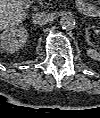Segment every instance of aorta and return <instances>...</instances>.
I'll use <instances>...</instances> for the list:
<instances>
[{"label": "aorta", "mask_w": 100, "mask_h": 118, "mask_svg": "<svg viewBox=\"0 0 100 118\" xmlns=\"http://www.w3.org/2000/svg\"><path fill=\"white\" fill-rule=\"evenodd\" d=\"M75 18L70 14H65L60 18V26L64 30H72L75 27Z\"/></svg>", "instance_id": "aorta-1"}]
</instances>
